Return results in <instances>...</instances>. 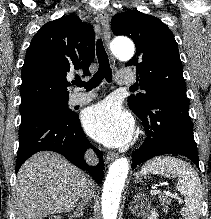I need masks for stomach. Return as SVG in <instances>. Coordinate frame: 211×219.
<instances>
[{
	"instance_id": "stomach-1",
	"label": "stomach",
	"mask_w": 211,
	"mask_h": 219,
	"mask_svg": "<svg viewBox=\"0 0 211 219\" xmlns=\"http://www.w3.org/2000/svg\"><path fill=\"white\" fill-rule=\"evenodd\" d=\"M143 179V175L141 173L134 174V182L140 183Z\"/></svg>"
}]
</instances>
